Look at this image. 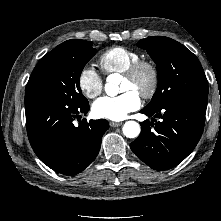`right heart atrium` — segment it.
I'll return each instance as SVG.
<instances>
[{
	"instance_id": "1",
	"label": "right heart atrium",
	"mask_w": 221,
	"mask_h": 221,
	"mask_svg": "<svg viewBox=\"0 0 221 221\" xmlns=\"http://www.w3.org/2000/svg\"><path fill=\"white\" fill-rule=\"evenodd\" d=\"M78 87L87 98L93 99L102 93L104 81L93 66L86 65L78 75Z\"/></svg>"
}]
</instances>
